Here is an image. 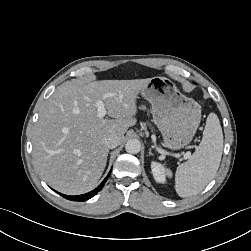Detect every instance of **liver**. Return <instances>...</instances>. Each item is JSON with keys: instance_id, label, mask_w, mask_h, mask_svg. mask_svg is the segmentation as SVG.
Listing matches in <instances>:
<instances>
[{"instance_id": "1", "label": "liver", "mask_w": 251, "mask_h": 251, "mask_svg": "<svg viewBox=\"0 0 251 251\" xmlns=\"http://www.w3.org/2000/svg\"><path fill=\"white\" fill-rule=\"evenodd\" d=\"M150 80H72L58 86L42 105L32 133L34 164L43 179L68 195L92 190L107 162L104 139L123 140L135 123L138 94ZM105 94L111 96L103 99ZM100 99L113 119L98 117Z\"/></svg>"}]
</instances>
